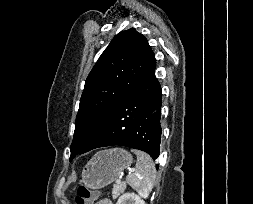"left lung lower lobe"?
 Segmentation results:
<instances>
[{"label":"left lung lower lobe","mask_w":253,"mask_h":204,"mask_svg":"<svg viewBox=\"0 0 253 204\" xmlns=\"http://www.w3.org/2000/svg\"><path fill=\"white\" fill-rule=\"evenodd\" d=\"M155 57L143 79L93 134L81 154L99 147L121 145L160 153L161 86L155 76Z\"/></svg>","instance_id":"1"}]
</instances>
